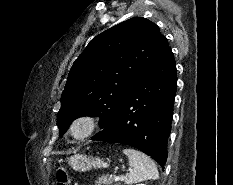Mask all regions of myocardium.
<instances>
[{
  "label": "myocardium",
  "instance_id": "myocardium-1",
  "mask_svg": "<svg viewBox=\"0 0 233 185\" xmlns=\"http://www.w3.org/2000/svg\"><path fill=\"white\" fill-rule=\"evenodd\" d=\"M83 125L84 131L81 134H76L77 126ZM99 126V119L94 114L83 113L74 117L68 126V135L75 141H83L92 136Z\"/></svg>",
  "mask_w": 233,
  "mask_h": 185
}]
</instances>
